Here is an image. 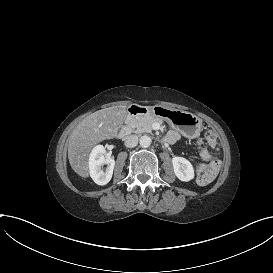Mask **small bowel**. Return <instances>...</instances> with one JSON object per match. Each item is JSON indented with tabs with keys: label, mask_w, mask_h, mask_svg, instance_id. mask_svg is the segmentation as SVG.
Returning <instances> with one entry per match:
<instances>
[{
	"label": "small bowel",
	"mask_w": 273,
	"mask_h": 273,
	"mask_svg": "<svg viewBox=\"0 0 273 273\" xmlns=\"http://www.w3.org/2000/svg\"><path fill=\"white\" fill-rule=\"evenodd\" d=\"M205 143L209 147H212V146L215 145L216 138L214 136L213 131H208L206 133V135H205ZM201 156H202L203 159H205L207 161H210V162L213 161V160H211L212 153L208 149L203 150L202 153H201Z\"/></svg>",
	"instance_id": "small-bowel-1"
}]
</instances>
